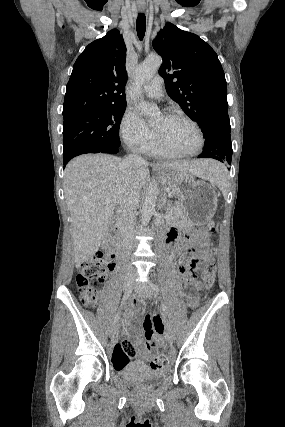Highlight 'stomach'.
Listing matches in <instances>:
<instances>
[{
    "instance_id": "obj_1",
    "label": "stomach",
    "mask_w": 285,
    "mask_h": 427,
    "mask_svg": "<svg viewBox=\"0 0 285 427\" xmlns=\"http://www.w3.org/2000/svg\"><path fill=\"white\" fill-rule=\"evenodd\" d=\"M168 185L179 200L184 218L201 225L212 219L217 208L215 189L189 172H168Z\"/></svg>"
}]
</instances>
